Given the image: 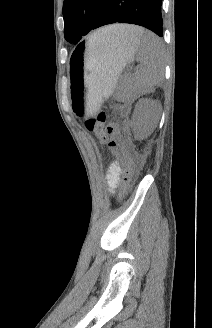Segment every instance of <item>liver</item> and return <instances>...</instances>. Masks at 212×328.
<instances>
[{
	"instance_id": "6515ba94",
	"label": "liver",
	"mask_w": 212,
	"mask_h": 328,
	"mask_svg": "<svg viewBox=\"0 0 212 328\" xmlns=\"http://www.w3.org/2000/svg\"><path fill=\"white\" fill-rule=\"evenodd\" d=\"M138 27L132 25L116 24L96 31L99 44H120L130 41Z\"/></svg>"
}]
</instances>
